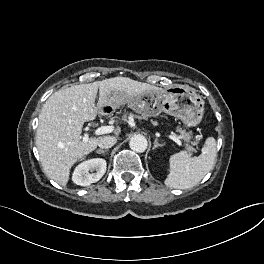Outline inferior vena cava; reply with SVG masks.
Returning a JSON list of instances; mask_svg holds the SVG:
<instances>
[{
	"instance_id": "1",
	"label": "inferior vena cava",
	"mask_w": 264,
	"mask_h": 264,
	"mask_svg": "<svg viewBox=\"0 0 264 264\" xmlns=\"http://www.w3.org/2000/svg\"><path fill=\"white\" fill-rule=\"evenodd\" d=\"M116 142H117L116 137H114V136H104V137L100 138L98 146L100 148L108 149V148L114 146L116 144Z\"/></svg>"
}]
</instances>
